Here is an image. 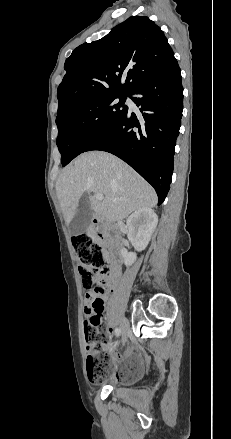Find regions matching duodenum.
<instances>
[{
	"label": "duodenum",
	"mask_w": 231,
	"mask_h": 439,
	"mask_svg": "<svg viewBox=\"0 0 231 439\" xmlns=\"http://www.w3.org/2000/svg\"><path fill=\"white\" fill-rule=\"evenodd\" d=\"M90 229H91V232H92V233H94V234H98V233L100 232V230H101V221H100L99 219H95V220L93 221V223H92ZM113 231H114V233L119 232V231H120V226H118V225L115 226L114 229H113ZM113 267H117V268H118V265H117V264H114ZM113 267H112V268H113Z\"/></svg>",
	"instance_id": "duodenum-1"
}]
</instances>
